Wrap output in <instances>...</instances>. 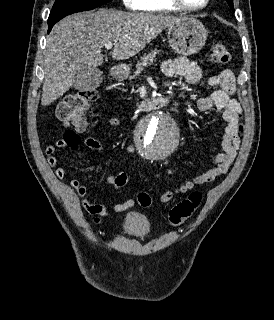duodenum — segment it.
Masks as SVG:
<instances>
[{
  "label": "duodenum",
  "instance_id": "1",
  "mask_svg": "<svg viewBox=\"0 0 274 320\" xmlns=\"http://www.w3.org/2000/svg\"><path fill=\"white\" fill-rule=\"evenodd\" d=\"M170 102V99L167 97H155L151 99H145L142 102V107L144 109H153V108H158L162 107Z\"/></svg>",
  "mask_w": 274,
  "mask_h": 320
}]
</instances>
